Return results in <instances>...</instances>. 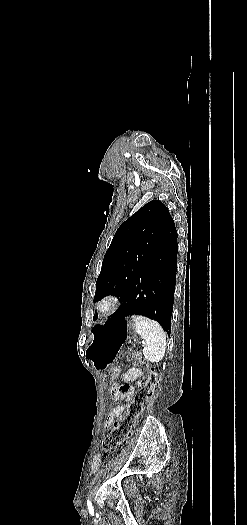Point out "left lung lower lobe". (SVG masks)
<instances>
[{"instance_id": "1", "label": "left lung lower lobe", "mask_w": 247, "mask_h": 525, "mask_svg": "<svg viewBox=\"0 0 247 525\" xmlns=\"http://www.w3.org/2000/svg\"><path fill=\"white\" fill-rule=\"evenodd\" d=\"M177 253V231L172 220L156 240L143 270L109 321L143 315L158 321L170 335Z\"/></svg>"}]
</instances>
